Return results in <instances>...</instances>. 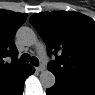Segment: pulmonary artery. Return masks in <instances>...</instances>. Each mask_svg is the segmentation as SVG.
Listing matches in <instances>:
<instances>
[{
  "mask_svg": "<svg viewBox=\"0 0 95 95\" xmlns=\"http://www.w3.org/2000/svg\"><path fill=\"white\" fill-rule=\"evenodd\" d=\"M43 59L46 61L47 60V58L46 57H43Z\"/></svg>",
  "mask_w": 95,
  "mask_h": 95,
  "instance_id": "1",
  "label": "pulmonary artery"
}]
</instances>
